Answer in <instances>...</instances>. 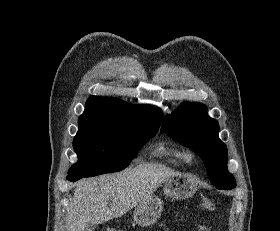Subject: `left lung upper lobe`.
<instances>
[{
  "label": "left lung upper lobe",
  "mask_w": 280,
  "mask_h": 231,
  "mask_svg": "<svg viewBox=\"0 0 280 231\" xmlns=\"http://www.w3.org/2000/svg\"><path fill=\"white\" fill-rule=\"evenodd\" d=\"M161 132L202 158L216 188L236 186L235 178L227 169V147L218 137L219 124L207 115L205 105L185 102L165 117Z\"/></svg>",
  "instance_id": "5c2ea615"
}]
</instances>
